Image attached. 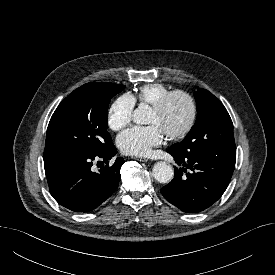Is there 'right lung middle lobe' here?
I'll return each mask as SVG.
<instances>
[{"label":"right lung middle lobe","mask_w":275,"mask_h":275,"mask_svg":"<svg viewBox=\"0 0 275 275\" xmlns=\"http://www.w3.org/2000/svg\"><path fill=\"white\" fill-rule=\"evenodd\" d=\"M124 85L87 83L68 95L52 115L45 150L97 155L111 144L107 131L108 105Z\"/></svg>","instance_id":"dd1d6c3e"}]
</instances>
